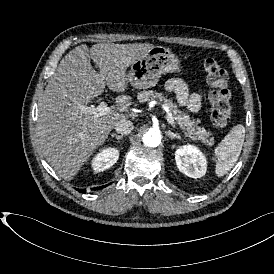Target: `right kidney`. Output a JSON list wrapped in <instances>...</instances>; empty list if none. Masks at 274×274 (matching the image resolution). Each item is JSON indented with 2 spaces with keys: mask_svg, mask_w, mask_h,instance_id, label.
Instances as JSON below:
<instances>
[{
  "mask_svg": "<svg viewBox=\"0 0 274 274\" xmlns=\"http://www.w3.org/2000/svg\"><path fill=\"white\" fill-rule=\"evenodd\" d=\"M118 150L109 148L100 152L94 159L95 172H101L112 167L118 160Z\"/></svg>",
  "mask_w": 274,
  "mask_h": 274,
  "instance_id": "right-kidney-1",
  "label": "right kidney"
}]
</instances>
